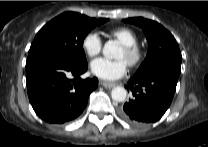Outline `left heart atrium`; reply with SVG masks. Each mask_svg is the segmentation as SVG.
I'll return each instance as SVG.
<instances>
[{
  "label": "left heart atrium",
  "mask_w": 208,
  "mask_h": 147,
  "mask_svg": "<svg viewBox=\"0 0 208 147\" xmlns=\"http://www.w3.org/2000/svg\"><path fill=\"white\" fill-rule=\"evenodd\" d=\"M127 62L124 59L110 60L97 58L91 62L92 73L104 80H116L122 77L127 70Z\"/></svg>",
  "instance_id": "39dd6f15"
}]
</instances>
